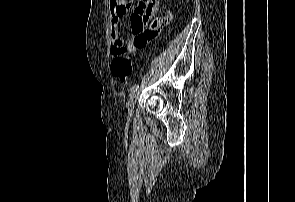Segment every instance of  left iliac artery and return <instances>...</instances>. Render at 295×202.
I'll use <instances>...</instances> for the list:
<instances>
[{"instance_id": "1", "label": "left iliac artery", "mask_w": 295, "mask_h": 202, "mask_svg": "<svg viewBox=\"0 0 295 202\" xmlns=\"http://www.w3.org/2000/svg\"><path fill=\"white\" fill-rule=\"evenodd\" d=\"M139 85L138 84H135L133 85L131 88H130V93L133 94L137 91Z\"/></svg>"}]
</instances>
